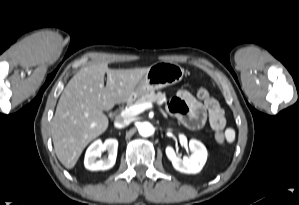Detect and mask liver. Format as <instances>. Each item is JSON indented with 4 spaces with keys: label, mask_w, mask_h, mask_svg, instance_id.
Here are the masks:
<instances>
[{
    "label": "liver",
    "mask_w": 299,
    "mask_h": 205,
    "mask_svg": "<svg viewBox=\"0 0 299 205\" xmlns=\"http://www.w3.org/2000/svg\"><path fill=\"white\" fill-rule=\"evenodd\" d=\"M148 69H109L107 63H96L71 78L58 101L51 129L63 166L72 169L84 148L106 131L109 122L103 111L130 99Z\"/></svg>",
    "instance_id": "1"
}]
</instances>
